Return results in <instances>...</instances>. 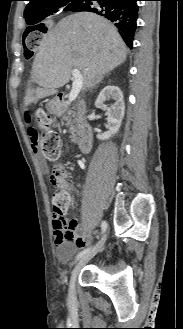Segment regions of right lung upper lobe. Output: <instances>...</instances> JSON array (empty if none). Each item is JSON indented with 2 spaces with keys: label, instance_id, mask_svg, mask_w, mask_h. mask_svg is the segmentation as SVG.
Returning a JSON list of instances; mask_svg holds the SVG:
<instances>
[{
  "label": "right lung upper lobe",
  "instance_id": "cb5924a9",
  "mask_svg": "<svg viewBox=\"0 0 183 329\" xmlns=\"http://www.w3.org/2000/svg\"><path fill=\"white\" fill-rule=\"evenodd\" d=\"M30 2L25 8L24 17L25 20H29L31 17L42 15L50 6L61 0H29Z\"/></svg>",
  "mask_w": 183,
  "mask_h": 329
}]
</instances>
